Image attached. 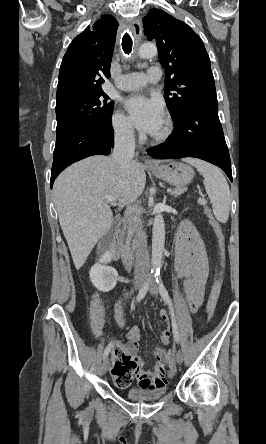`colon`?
Instances as JSON below:
<instances>
[{
	"label": "colon",
	"mask_w": 266,
	"mask_h": 444,
	"mask_svg": "<svg viewBox=\"0 0 266 444\" xmlns=\"http://www.w3.org/2000/svg\"><path fill=\"white\" fill-rule=\"evenodd\" d=\"M206 213L214 229L217 239V248H218V267L207 305V320H210L214 314L223 282L224 265H225V242H224L223 231L219 223L214 219L210 210L207 209ZM167 359L170 370H173V359H174L173 351L171 350L168 351Z\"/></svg>",
	"instance_id": "colon-1"
}]
</instances>
